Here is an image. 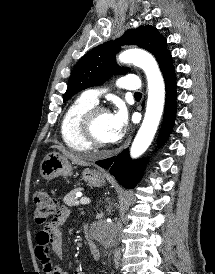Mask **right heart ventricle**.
<instances>
[{
  "label": "right heart ventricle",
  "instance_id": "obj_1",
  "mask_svg": "<svg viewBox=\"0 0 215 274\" xmlns=\"http://www.w3.org/2000/svg\"><path fill=\"white\" fill-rule=\"evenodd\" d=\"M95 105L96 103L83 94L72 101L65 111L60 125V132L64 143L71 149L77 151L90 149V146L81 135L80 121L84 113Z\"/></svg>",
  "mask_w": 215,
  "mask_h": 274
}]
</instances>
